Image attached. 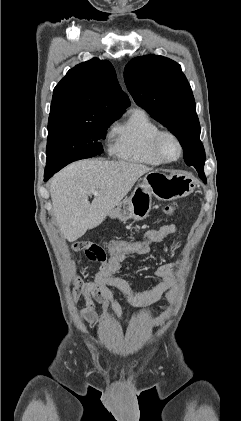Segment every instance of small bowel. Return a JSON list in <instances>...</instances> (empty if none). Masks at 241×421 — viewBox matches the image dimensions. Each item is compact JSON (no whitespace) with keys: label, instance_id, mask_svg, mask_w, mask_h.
Here are the masks:
<instances>
[{"label":"small bowel","instance_id":"obj_1","mask_svg":"<svg viewBox=\"0 0 241 421\" xmlns=\"http://www.w3.org/2000/svg\"><path fill=\"white\" fill-rule=\"evenodd\" d=\"M177 229L178 226L176 224L164 225L159 229L147 231L141 241L151 244L160 243L168 236L174 234ZM125 260V255H111L108 261L101 264L93 282L73 280L72 302L76 303L81 296H84L87 300L93 299L105 311L113 313L125 324H129L130 320L124 317L122 306L114 300L110 287L116 288L134 303H150L159 299L163 294H165L169 302H174L176 286L174 285V274L171 264L162 265L157 269L156 275L161 278V281L156 286L144 293H138L130 287L125 279L114 276L121 269ZM82 316L86 321L90 322H97L100 318L99 315L92 313L90 305L83 311ZM167 318L168 312H164L153 320V324L158 325Z\"/></svg>","mask_w":241,"mask_h":421}]
</instances>
